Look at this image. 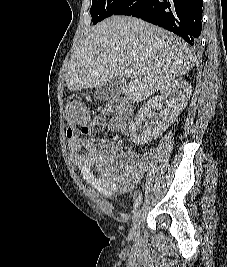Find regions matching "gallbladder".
Segmentation results:
<instances>
[{
  "instance_id": "1",
  "label": "gallbladder",
  "mask_w": 227,
  "mask_h": 267,
  "mask_svg": "<svg viewBox=\"0 0 227 267\" xmlns=\"http://www.w3.org/2000/svg\"><path fill=\"white\" fill-rule=\"evenodd\" d=\"M120 89V81L114 79L113 81L98 87L94 92V98L97 100H107L113 95H115Z\"/></svg>"
}]
</instances>
